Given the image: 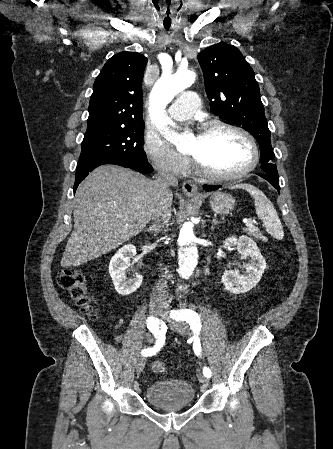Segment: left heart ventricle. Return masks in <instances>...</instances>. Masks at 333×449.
<instances>
[{
  "label": "left heart ventricle",
  "instance_id": "left-heart-ventricle-1",
  "mask_svg": "<svg viewBox=\"0 0 333 449\" xmlns=\"http://www.w3.org/2000/svg\"><path fill=\"white\" fill-rule=\"evenodd\" d=\"M188 153L209 171L228 174L244 168L251 159L247 141L230 131L201 133L190 140Z\"/></svg>",
  "mask_w": 333,
  "mask_h": 449
}]
</instances>
